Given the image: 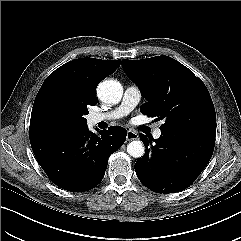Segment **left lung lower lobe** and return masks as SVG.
I'll list each match as a JSON object with an SVG mask.
<instances>
[{"instance_id": "1", "label": "left lung lower lobe", "mask_w": 241, "mask_h": 241, "mask_svg": "<svg viewBox=\"0 0 241 241\" xmlns=\"http://www.w3.org/2000/svg\"><path fill=\"white\" fill-rule=\"evenodd\" d=\"M146 146L135 164L139 180L156 193H175L190 186L210 161L215 139L173 130H161L154 141L140 134Z\"/></svg>"}]
</instances>
